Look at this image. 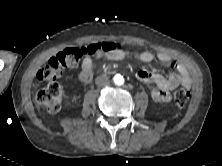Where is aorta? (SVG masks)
Segmentation results:
<instances>
[{
	"instance_id": "1",
	"label": "aorta",
	"mask_w": 222,
	"mask_h": 166,
	"mask_svg": "<svg viewBox=\"0 0 222 166\" xmlns=\"http://www.w3.org/2000/svg\"><path fill=\"white\" fill-rule=\"evenodd\" d=\"M113 80H114L115 84H117V85L124 84V78L121 75H115Z\"/></svg>"
}]
</instances>
